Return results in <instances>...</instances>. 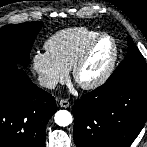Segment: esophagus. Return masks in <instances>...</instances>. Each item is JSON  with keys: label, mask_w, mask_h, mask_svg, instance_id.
Here are the masks:
<instances>
[{"label": "esophagus", "mask_w": 147, "mask_h": 147, "mask_svg": "<svg viewBox=\"0 0 147 147\" xmlns=\"http://www.w3.org/2000/svg\"><path fill=\"white\" fill-rule=\"evenodd\" d=\"M59 105H60L61 107H63V108H67V107L70 106V103H69L68 100L61 99V100L59 101Z\"/></svg>", "instance_id": "1"}]
</instances>
